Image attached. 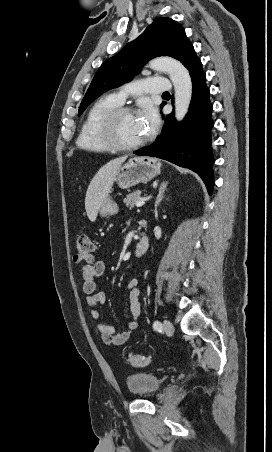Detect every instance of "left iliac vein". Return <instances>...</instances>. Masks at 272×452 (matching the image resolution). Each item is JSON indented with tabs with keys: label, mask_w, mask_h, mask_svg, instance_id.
<instances>
[{
	"label": "left iliac vein",
	"mask_w": 272,
	"mask_h": 452,
	"mask_svg": "<svg viewBox=\"0 0 272 452\" xmlns=\"http://www.w3.org/2000/svg\"><path fill=\"white\" fill-rule=\"evenodd\" d=\"M163 330L167 335H172L174 333L173 324L169 320L163 321Z\"/></svg>",
	"instance_id": "left-iliac-vein-1"
}]
</instances>
